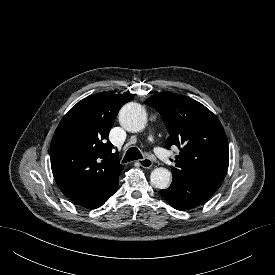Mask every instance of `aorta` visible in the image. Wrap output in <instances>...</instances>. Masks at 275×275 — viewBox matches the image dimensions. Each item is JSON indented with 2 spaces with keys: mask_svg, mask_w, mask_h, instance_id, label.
I'll return each instance as SVG.
<instances>
[{
  "mask_svg": "<svg viewBox=\"0 0 275 275\" xmlns=\"http://www.w3.org/2000/svg\"><path fill=\"white\" fill-rule=\"evenodd\" d=\"M121 126L129 132H139L147 124V115L144 108L134 102L125 104L119 112ZM151 183L158 189H166L171 182V173L166 168H156L150 175Z\"/></svg>",
  "mask_w": 275,
  "mask_h": 275,
  "instance_id": "aorta-1",
  "label": "aorta"
}]
</instances>
